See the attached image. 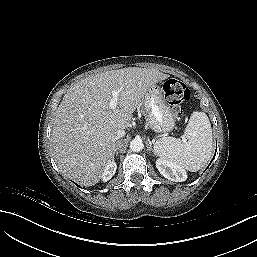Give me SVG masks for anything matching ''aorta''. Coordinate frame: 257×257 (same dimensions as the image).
<instances>
[{
    "label": "aorta",
    "mask_w": 257,
    "mask_h": 257,
    "mask_svg": "<svg viewBox=\"0 0 257 257\" xmlns=\"http://www.w3.org/2000/svg\"><path fill=\"white\" fill-rule=\"evenodd\" d=\"M129 147L133 152H140L143 149L144 144L140 138H135L130 142Z\"/></svg>",
    "instance_id": "1"
}]
</instances>
